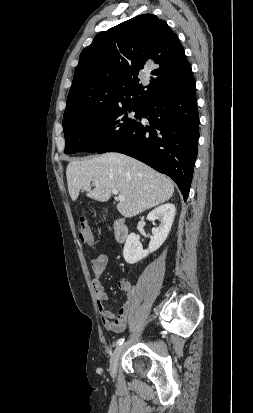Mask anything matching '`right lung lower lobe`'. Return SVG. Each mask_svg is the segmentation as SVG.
Segmentation results:
<instances>
[{
    "mask_svg": "<svg viewBox=\"0 0 253 413\" xmlns=\"http://www.w3.org/2000/svg\"><path fill=\"white\" fill-rule=\"evenodd\" d=\"M138 122L127 134L98 153L119 152L136 158L178 185L184 200L192 181L199 139V114L193 74L179 88L153 97L139 107Z\"/></svg>",
    "mask_w": 253,
    "mask_h": 413,
    "instance_id": "98d812e1",
    "label": "right lung lower lobe"
}]
</instances>
